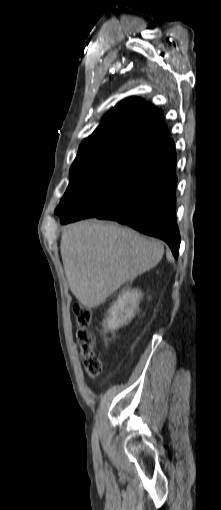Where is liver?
Here are the masks:
<instances>
[{"label":"liver","mask_w":221,"mask_h":510,"mask_svg":"<svg viewBox=\"0 0 221 510\" xmlns=\"http://www.w3.org/2000/svg\"><path fill=\"white\" fill-rule=\"evenodd\" d=\"M60 250L69 288L87 308L99 306L125 282L155 267L164 253L158 240L96 220L66 227Z\"/></svg>","instance_id":"6515ba94"}]
</instances>
